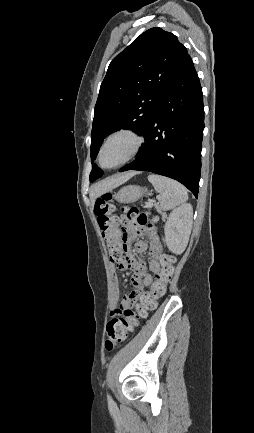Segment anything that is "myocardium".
I'll return each mask as SVG.
<instances>
[{"mask_svg": "<svg viewBox=\"0 0 254 433\" xmlns=\"http://www.w3.org/2000/svg\"><path fill=\"white\" fill-rule=\"evenodd\" d=\"M117 136H128L131 139H133L134 141V146L131 150V152L127 155V157L125 159H123L121 162H119L118 164L114 165V166H104L102 164V153L103 150L105 148V146L107 145V143L117 137ZM144 144V138L141 136L140 133H138L135 129L130 128V127H123L120 129L115 130L114 132L110 133L102 142L99 152H98V163L99 165L104 168V169H116L119 168L125 164H127L128 162H130L131 160H133L141 151L142 147Z\"/></svg>", "mask_w": 254, "mask_h": 433, "instance_id": "obj_1", "label": "myocardium"}]
</instances>
